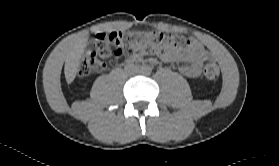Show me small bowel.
I'll return each mask as SVG.
<instances>
[{"label": "small bowel", "instance_id": "small-bowel-1", "mask_svg": "<svg viewBox=\"0 0 279 166\" xmlns=\"http://www.w3.org/2000/svg\"><path fill=\"white\" fill-rule=\"evenodd\" d=\"M145 52H139L134 55L130 60L139 59ZM160 57L165 62H171L174 59H179L184 62L180 66L182 74L189 78H195L200 74L202 63L209 58L208 52L197 41H191L190 45L183 51L174 54L171 52H162Z\"/></svg>", "mask_w": 279, "mask_h": 166}]
</instances>
